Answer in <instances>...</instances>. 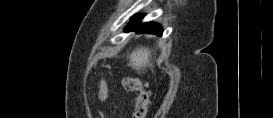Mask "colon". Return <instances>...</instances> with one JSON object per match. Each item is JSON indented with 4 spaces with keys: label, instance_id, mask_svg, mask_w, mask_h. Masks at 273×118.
Instances as JSON below:
<instances>
[{
    "label": "colon",
    "instance_id": "5ec220e1",
    "mask_svg": "<svg viewBox=\"0 0 273 118\" xmlns=\"http://www.w3.org/2000/svg\"><path fill=\"white\" fill-rule=\"evenodd\" d=\"M122 86L128 92H136L137 98L134 106V118H145L148 111V93L142 81L137 77H124ZM107 97V85L104 80L100 81L99 98L103 101Z\"/></svg>",
    "mask_w": 273,
    "mask_h": 118
}]
</instances>
